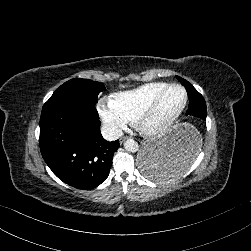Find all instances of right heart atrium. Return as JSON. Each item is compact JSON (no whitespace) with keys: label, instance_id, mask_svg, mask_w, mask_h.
I'll list each match as a JSON object with an SVG mask.
<instances>
[{"label":"right heart atrium","instance_id":"obj_1","mask_svg":"<svg viewBox=\"0 0 251 251\" xmlns=\"http://www.w3.org/2000/svg\"><path fill=\"white\" fill-rule=\"evenodd\" d=\"M96 108L108 130L115 136L122 135L130 125L136 122L134 117L121 108L115 96L100 98Z\"/></svg>","mask_w":251,"mask_h":251}]
</instances>
